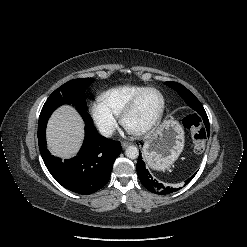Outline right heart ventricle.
Instances as JSON below:
<instances>
[{
  "instance_id": "right-heart-ventricle-1",
  "label": "right heart ventricle",
  "mask_w": 247,
  "mask_h": 247,
  "mask_svg": "<svg viewBox=\"0 0 247 247\" xmlns=\"http://www.w3.org/2000/svg\"><path fill=\"white\" fill-rule=\"evenodd\" d=\"M144 88L146 87L139 85H123L114 87L103 92L100 96V101L114 115L118 116L121 115L131 99Z\"/></svg>"
}]
</instances>
